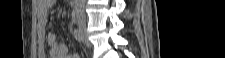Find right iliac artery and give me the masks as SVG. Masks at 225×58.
I'll return each instance as SVG.
<instances>
[{
	"label": "right iliac artery",
	"instance_id": "right-iliac-artery-1",
	"mask_svg": "<svg viewBox=\"0 0 225 58\" xmlns=\"http://www.w3.org/2000/svg\"><path fill=\"white\" fill-rule=\"evenodd\" d=\"M73 35L75 37V39L78 41V42H83V38L80 34V31L78 29H75L74 32H73Z\"/></svg>",
	"mask_w": 225,
	"mask_h": 58
}]
</instances>
